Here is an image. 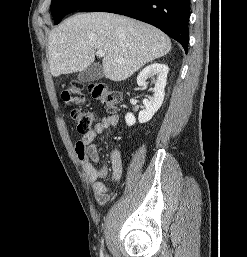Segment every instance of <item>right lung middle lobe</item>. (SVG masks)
<instances>
[{
  "mask_svg": "<svg viewBox=\"0 0 247 257\" xmlns=\"http://www.w3.org/2000/svg\"><path fill=\"white\" fill-rule=\"evenodd\" d=\"M92 0H52L51 13L54 23L58 24L67 14L81 9Z\"/></svg>",
  "mask_w": 247,
  "mask_h": 257,
  "instance_id": "1",
  "label": "right lung middle lobe"
}]
</instances>
